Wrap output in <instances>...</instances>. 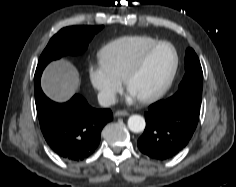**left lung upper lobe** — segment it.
I'll use <instances>...</instances> for the list:
<instances>
[{
    "label": "left lung upper lobe",
    "mask_w": 236,
    "mask_h": 187,
    "mask_svg": "<svg viewBox=\"0 0 236 187\" xmlns=\"http://www.w3.org/2000/svg\"><path fill=\"white\" fill-rule=\"evenodd\" d=\"M185 70L186 73L178 87V91L172 97L166 99V102L172 104L179 100H185L200 106L202 100L203 72L198 56L192 48L186 50Z\"/></svg>",
    "instance_id": "5c2ea615"
}]
</instances>
